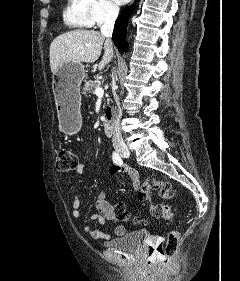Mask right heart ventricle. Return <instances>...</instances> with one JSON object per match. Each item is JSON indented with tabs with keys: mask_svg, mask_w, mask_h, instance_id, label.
Wrapping results in <instances>:
<instances>
[{
	"mask_svg": "<svg viewBox=\"0 0 240 281\" xmlns=\"http://www.w3.org/2000/svg\"><path fill=\"white\" fill-rule=\"evenodd\" d=\"M91 0H67L63 9V21L72 29L90 28L94 25Z\"/></svg>",
	"mask_w": 240,
	"mask_h": 281,
	"instance_id": "e07e8e85",
	"label": "right heart ventricle"
}]
</instances>
